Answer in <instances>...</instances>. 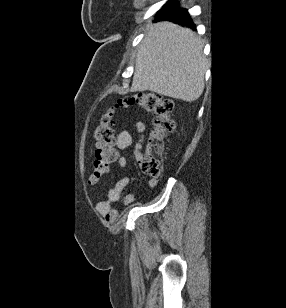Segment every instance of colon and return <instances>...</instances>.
Segmentation results:
<instances>
[{"label":"colon","instance_id":"obj_1","mask_svg":"<svg viewBox=\"0 0 286 308\" xmlns=\"http://www.w3.org/2000/svg\"><path fill=\"white\" fill-rule=\"evenodd\" d=\"M139 107L152 115V132L146 151L141 159L143 172L158 178L162 171V146L160 141L175 129L171 118L173 102L170 99L153 92H140L130 97H124L108 110L97 126L95 139V160L89 181L97 184L105 175L110 164L116 159L114 116L116 109Z\"/></svg>","mask_w":286,"mask_h":308}]
</instances>
